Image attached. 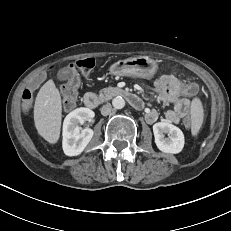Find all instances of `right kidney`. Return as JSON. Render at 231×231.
Segmentation results:
<instances>
[{"label": "right kidney", "instance_id": "1", "mask_svg": "<svg viewBox=\"0 0 231 231\" xmlns=\"http://www.w3.org/2000/svg\"><path fill=\"white\" fill-rule=\"evenodd\" d=\"M94 115L89 108H77L66 116L62 133V147L65 155L78 156L84 151L94 132L91 128L81 129L79 124L90 121Z\"/></svg>", "mask_w": 231, "mask_h": 231}]
</instances>
